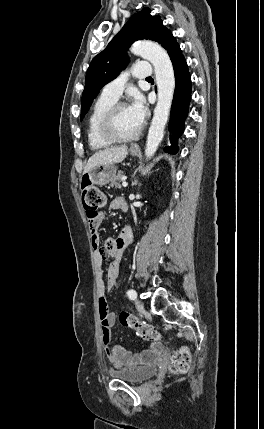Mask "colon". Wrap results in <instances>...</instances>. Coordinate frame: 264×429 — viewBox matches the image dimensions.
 <instances>
[{"label":"colon","instance_id":"1","mask_svg":"<svg viewBox=\"0 0 264 429\" xmlns=\"http://www.w3.org/2000/svg\"><path fill=\"white\" fill-rule=\"evenodd\" d=\"M81 198L83 207L89 220H95L100 214V210L105 206L106 198L103 192L90 182H83L81 185ZM122 326L135 329L137 334L147 341H159L158 331L151 325L140 321L135 315L127 311H122L119 315ZM190 351L186 347L180 348L171 357L169 369L174 374H184L190 366Z\"/></svg>","mask_w":264,"mask_h":429}]
</instances>
